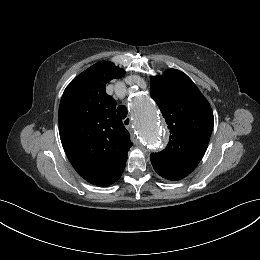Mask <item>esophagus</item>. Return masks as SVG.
<instances>
[{"instance_id": "1", "label": "esophagus", "mask_w": 260, "mask_h": 260, "mask_svg": "<svg viewBox=\"0 0 260 260\" xmlns=\"http://www.w3.org/2000/svg\"><path fill=\"white\" fill-rule=\"evenodd\" d=\"M123 124L127 129L131 128V118L127 117L126 119H124Z\"/></svg>"}]
</instances>
